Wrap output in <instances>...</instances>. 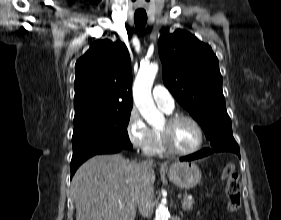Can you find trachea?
<instances>
[{
	"instance_id": "obj_1",
	"label": "trachea",
	"mask_w": 281,
	"mask_h": 220,
	"mask_svg": "<svg viewBox=\"0 0 281 220\" xmlns=\"http://www.w3.org/2000/svg\"><path fill=\"white\" fill-rule=\"evenodd\" d=\"M134 22H135L136 28L138 30L142 31L147 22L146 11L142 10V9L135 11Z\"/></svg>"
}]
</instances>
